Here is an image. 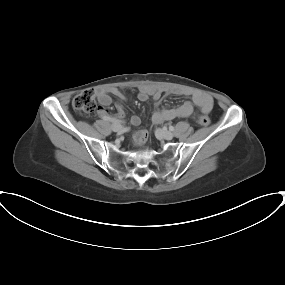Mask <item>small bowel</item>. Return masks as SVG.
Segmentation results:
<instances>
[{
  "instance_id": "obj_1",
  "label": "small bowel",
  "mask_w": 285,
  "mask_h": 285,
  "mask_svg": "<svg viewBox=\"0 0 285 285\" xmlns=\"http://www.w3.org/2000/svg\"><path fill=\"white\" fill-rule=\"evenodd\" d=\"M95 92L100 104L102 105V107H100L98 110V114L100 116L107 118L109 120H115L116 117L122 118L124 116L125 111H124L123 102L126 100V97L120 89L115 87L97 88ZM169 94L187 95L189 93L182 91L180 89H167L164 87H156L152 85H142L138 89L137 98L139 101L142 102H145L149 98H151L154 101V103L158 105L162 96ZM110 95H114L118 99V102L116 103V109H117L116 117L110 115L105 109V106L110 105L112 102ZM191 98L192 102L186 101L181 105L173 108H157L152 115L153 122L156 124H160L164 121L173 120L176 118L190 117L194 114L193 104L196 105L199 108V110L204 114H207L212 110L213 99L211 96L201 92H194L191 94ZM141 121L142 118L140 116H133L130 120V123L131 125L137 126L141 123ZM147 138H148V132L146 130H139L135 132L132 136L133 142L136 145L144 144Z\"/></svg>"
}]
</instances>
